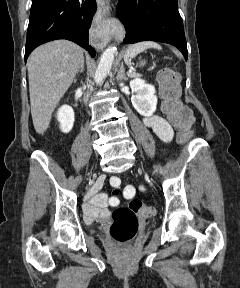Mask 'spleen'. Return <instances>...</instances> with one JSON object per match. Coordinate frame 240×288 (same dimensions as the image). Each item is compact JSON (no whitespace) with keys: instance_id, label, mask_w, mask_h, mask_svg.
Listing matches in <instances>:
<instances>
[{"instance_id":"obj_1","label":"spleen","mask_w":240,"mask_h":288,"mask_svg":"<svg viewBox=\"0 0 240 288\" xmlns=\"http://www.w3.org/2000/svg\"><path fill=\"white\" fill-rule=\"evenodd\" d=\"M154 48V49H161V46L154 42V41H143L136 44L131 45L126 53H125V61L129 62L132 58H134L139 53L143 52L146 49Z\"/></svg>"}]
</instances>
